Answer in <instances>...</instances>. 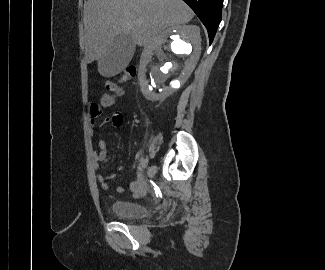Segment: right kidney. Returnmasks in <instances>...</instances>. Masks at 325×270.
I'll list each match as a JSON object with an SVG mask.
<instances>
[{"label": "right kidney", "mask_w": 325, "mask_h": 270, "mask_svg": "<svg viewBox=\"0 0 325 270\" xmlns=\"http://www.w3.org/2000/svg\"><path fill=\"white\" fill-rule=\"evenodd\" d=\"M200 53L199 27L177 25L165 30L156 44L141 56L138 78L144 97L158 101L173 94L190 77ZM153 55L157 62L153 61ZM147 72L150 73L149 78ZM169 80L170 83L166 85Z\"/></svg>", "instance_id": "ca27d5eb"}]
</instances>
